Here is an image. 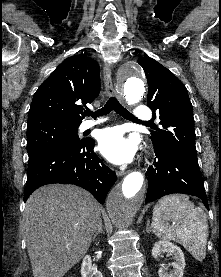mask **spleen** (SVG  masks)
Instances as JSON below:
<instances>
[{"mask_svg": "<svg viewBox=\"0 0 221 277\" xmlns=\"http://www.w3.org/2000/svg\"><path fill=\"white\" fill-rule=\"evenodd\" d=\"M170 220L175 224L170 226ZM152 229L157 237L181 244L196 260L205 258L207 217L204 210L196 208L188 196L173 194L161 198L153 209Z\"/></svg>", "mask_w": 221, "mask_h": 277, "instance_id": "1", "label": "spleen"}]
</instances>
